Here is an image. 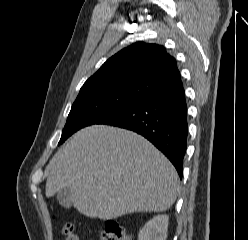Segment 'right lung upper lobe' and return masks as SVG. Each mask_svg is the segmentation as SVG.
<instances>
[{
	"instance_id": "cb5924a9",
	"label": "right lung upper lobe",
	"mask_w": 248,
	"mask_h": 240,
	"mask_svg": "<svg viewBox=\"0 0 248 240\" xmlns=\"http://www.w3.org/2000/svg\"><path fill=\"white\" fill-rule=\"evenodd\" d=\"M181 84L176 60L163 46L138 42L108 59L81 89H112L141 99Z\"/></svg>"
}]
</instances>
